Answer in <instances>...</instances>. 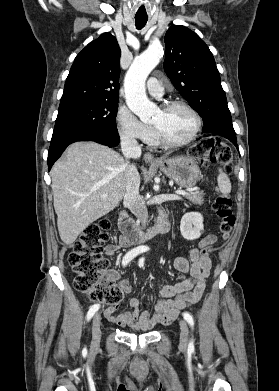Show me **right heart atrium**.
<instances>
[{"label": "right heart atrium", "mask_w": 279, "mask_h": 391, "mask_svg": "<svg viewBox=\"0 0 279 391\" xmlns=\"http://www.w3.org/2000/svg\"><path fill=\"white\" fill-rule=\"evenodd\" d=\"M116 123L120 136L129 141H148L152 136L151 127L140 121L127 107H120L116 115Z\"/></svg>", "instance_id": "right-heart-atrium-1"}]
</instances>
